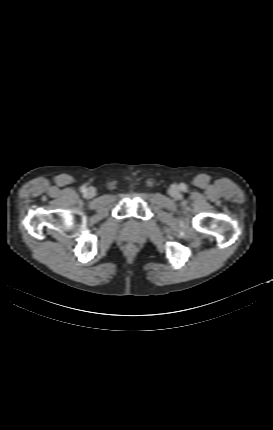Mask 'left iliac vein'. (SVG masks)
Instances as JSON below:
<instances>
[{"instance_id":"4c4485c4","label":"left iliac vein","mask_w":273,"mask_h":430,"mask_svg":"<svg viewBox=\"0 0 273 430\" xmlns=\"http://www.w3.org/2000/svg\"><path fill=\"white\" fill-rule=\"evenodd\" d=\"M170 192L173 196L177 195V193H178L176 187L171 188Z\"/></svg>"}]
</instances>
